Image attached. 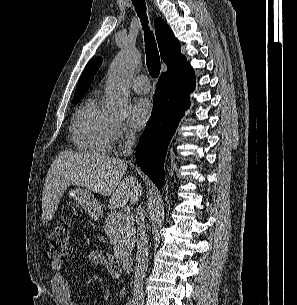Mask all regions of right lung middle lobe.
Instances as JSON below:
<instances>
[{"mask_svg": "<svg viewBox=\"0 0 297 305\" xmlns=\"http://www.w3.org/2000/svg\"><path fill=\"white\" fill-rule=\"evenodd\" d=\"M80 99L73 100V103L76 104Z\"/></svg>", "mask_w": 297, "mask_h": 305, "instance_id": "dd1d6c3e", "label": "right lung middle lobe"}]
</instances>
